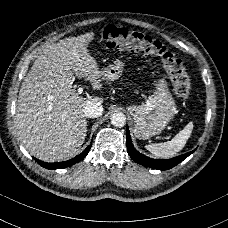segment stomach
Instances as JSON below:
<instances>
[{
  "label": "stomach",
  "mask_w": 228,
  "mask_h": 228,
  "mask_svg": "<svg viewBox=\"0 0 228 228\" xmlns=\"http://www.w3.org/2000/svg\"><path fill=\"white\" fill-rule=\"evenodd\" d=\"M125 63L117 58L102 70L103 79L116 80L123 74ZM155 89L141 105L131 104L128 111L135 121V135L142 139L160 134L177 114L176 102L164 78L153 82Z\"/></svg>",
  "instance_id": "obj_1"
}]
</instances>
